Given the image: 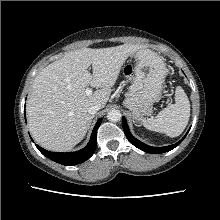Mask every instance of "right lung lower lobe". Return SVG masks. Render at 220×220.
Returning <instances> with one entry per match:
<instances>
[{
    "label": "right lung lower lobe",
    "mask_w": 220,
    "mask_h": 220,
    "mask_svg": "<svg viewBox=\"0 0 220 220\" xmlns=\"http://www.w3.org/2000/svg\"><path fill=\"white\" fill-rule=\"evenodd\" d=\"M101 122H102V118H100L97 121V123L92 131L91 138H90V141L87 144V146L79 151L70 152V153H60V152L47 151L38 145H36V147L43 155H45L47 158H49L57 163H60V164L66 165V166H71V165H76V164L82 163V162L86 161L87 159H89L93 155V153L96 149L97 129L100 126Z\"/></svg>",
    "instance_id": "obj_1"
}]
</instances>
